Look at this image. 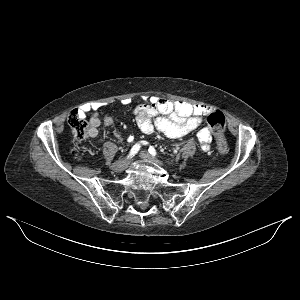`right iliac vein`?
Returning a JSON list of instances; mask_svg holds the SVG:
<instances>
[{"label": "right iliac vein", "mask_w": 300, "mask_h": 300, "mask_svg": "<svg viewBox=\"0 0 300 300\" xmlns=\"http://www.w3.org/2000/svg\"><path fill=\"white\" fill-rule=\"evenodd\" d=\"M129 164V158L119 160L112 165L113 170L116 172H122Z\"/></svg>", "instance_id": "obj_1"}]
</instances>
